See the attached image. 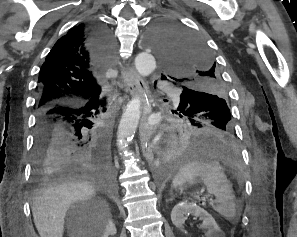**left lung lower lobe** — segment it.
Instances as JSON below:
<instances>
[{
	"instance_id": "obj_1",
	"label": "left lung lower lobe",
	"mask_w": 297,
	"mask_h": 237,
	"mask_svg": "<svg viewBox=\"0 0 297 237\" xmlns=\"http://www.w3.org/2000/svg\"><path fill=\"white\" fill-rule=\"evenodd\" d=\"M181 106L180 103L176 113L181 117L187 116L191 124L179 135L165 160V165L179 166L196 158L231 156L234 153L235 134L232 129H227L221 117L203 115L199 116V119H193L191 115L183 113Z\"/></svg>"
}]
</instances>
